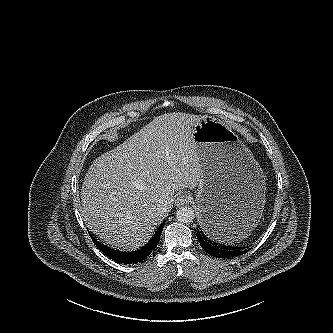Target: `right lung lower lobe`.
Instances as JSON below:
<instances>
[{
    "instance_id": "1",
    "label": "right lung lower lobe",
    "mask_w": 333,
    "mask_h": 333,
    "mask_svg": "<svg viewBox=\"0 0 333 333\" xmlns=\"http://www.w3.org/2000/svg\"><path fill=\"white\" fill-rule=\"evenodd\" d=\"M163 228L164 222L157 229L150 242L140 250L134 252H121L118 250H114L101 244L94 237L91 236V238L94 244L110 259L116 261L117 263L134 264L145 260L147 256L152 252V250L158 245Z\"/></svg>"
}]
</instances>
